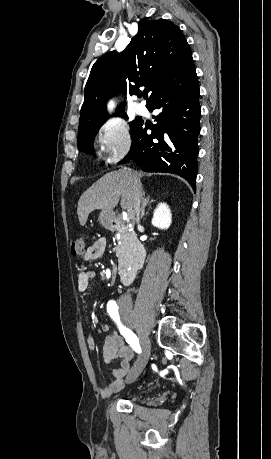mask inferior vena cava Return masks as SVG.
<instances>
[{
    "label": "inferior vena cava",
    "mask_w": 271,
    "mask_h": 459,
    "mask_svg": "<svg viewBox=\"0 0 271 459\" xmlns=\"http://www.w3.org/2000/svg\"><path fill=\"white\" fill-rule=\"evenodd\" d=\"M141 196H142L141 190H139L137 184H135V192H134V198H133V208H134V210H133V214H132L131 220H133V222H137V224H138V222L140 220ZM135 216H136V218H135ZM128 291H129V289H128ZM128 291H127V293H125L124 299H125V301H129V303H131V295H130V293H128Z\"/></svg>",
    "instance_id": "602c4592"
}]
</instances>
